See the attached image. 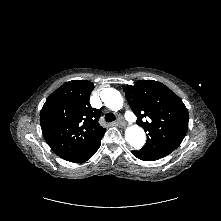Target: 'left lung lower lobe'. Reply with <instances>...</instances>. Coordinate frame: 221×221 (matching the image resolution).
Instances as JSON below:
<instances>
[{"label":"left lung lower lobe","instance_id":"0a47b994","mask_svg":"<svg viewBox=\"0 0 221 221\" xmlns=\"http://www.w3.org/2000/svg\"><path fill=\"white\" fill-rule=\"evenodd\" d=\"M132 154L140 159V160H143V161H155V160H158L160 159V157H154V156H151V155H147L145 153H142L141 151H132Z\"/></svg>","mask_w":221,"mask_h":221}]
</instances>
